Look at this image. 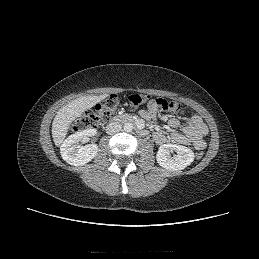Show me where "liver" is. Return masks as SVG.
Listing matches in <instances>:
<instances>
[{"label": "liver", "mask_w": 259, "mask_h": 259, "mask_svg": "<svg viewBox=\"0 0 259 259\" xmlns=\"http://www.w3.org/2000/svg\"><path fill=\"white\" fill-rule=\"evenodd\" d=\"M107 96L106 94L100 96H85L77 98L62 107L52 123V137L55 145L60 146V144L63 143L71 123L76 118L80 117L84 111L92 108Z\"/></svg>", "instance_id": "6515ba94"}]
</instances>
